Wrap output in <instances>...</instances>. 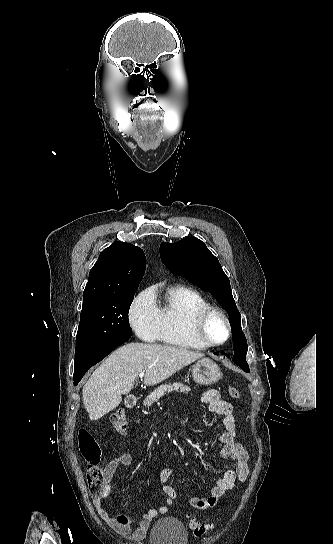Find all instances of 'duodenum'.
I'll return each mask as SVG.
<instances>
[{
  "mask_svg": "<svg viewBox=\"0 0 333 544\" xmlns=\"http://www.w3.org/2000/svg\"><path fill=\"white\" fill-rule=\"evenodd\" d=\"M125 404L128 408H134L137 404V398L135 396H128L125 400Z\"/></svg>",
  "mask_w": 333,
  "mask_h": 544,
  "instance_id": "obj_1",
  "label": "duodenum"
}]
</instances>
